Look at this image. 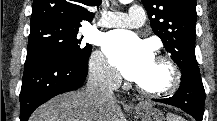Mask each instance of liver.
Returning <instances> with one entry per match:
<instances>
[{
  "mask_svg": "<svg viewBox=\"0 0 217 121\" xmlns=\"http://www.w3.org/2000/svg\"><path fill=\"white\" fill-rule=\"evenodd\" d=\"M141 105H148L142 103ZM30 121H126L117 100L93 106L84 91H73L54 97L41 105Z\"/></svg>",
  "mask_w": 217,
  "mask_h": 121,
  "instance_id": "liver-1",
  "label": "liver"
}]
</instances>
